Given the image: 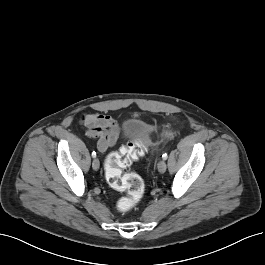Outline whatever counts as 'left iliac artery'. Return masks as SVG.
I'll return each mask as SVG.
<instances>
[{"label":"left iliac artery","mask_w":265,"mask_h":265,"mask_svg":"<svg viewBox=\"0 0 265 265\" xmlns=\"http://www.w3.org/2000/svg\"><path fill=\"white\" fill-rule=\"evenodd\" d=\"M162 158H163V160H166V159L168 158L167 154H166V153L163 154V155H162Z\"/></svg>","instance_id":"obj_1"}]
</instances>
